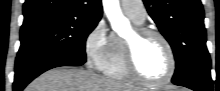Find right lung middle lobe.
<instances>
[{
	"mask_svg": "<svg viewBox=\"0 0 220 91\" xmlns=\"http://www.w3.org/2000/svg\"><path fill=\"white\" fill-rule=\"evenodd\" d=\"M98 22L75 16H54L24 23L20 31L18 55L56 50L86 61L85 42Z\"/></svg>",
	"mask_w": 220,
	"mask_h": 91,
	"instance_id": "obj_1",
	"label": "right lung middle lobe"
}]
</instances>
